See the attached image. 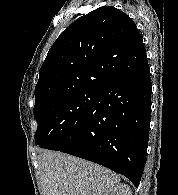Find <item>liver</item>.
Listing matches in <instances>:
<instances>
[{
  "label": "liver",
  "mask_w": 178,
  "mask_h": 195,
  "mask_svg": "<svg viewBox=\"0 0 178 195\" xmlns=\"http://www.w3.org/2000/svg\"><path fill=\"white\" fill-rule=\"evenodd\" d=\"M42 195H103L120 178L98 164L60 152L38 158Z\"/></svg>",
  "instance_id": "liver-1"
}]
</instances>
